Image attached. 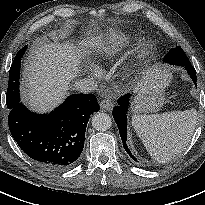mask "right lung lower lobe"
<instances>
[{
  "mask_svg": "<svg viewBox=\"0 0 205 205\" xmlns=\"http://www.w3.org/2000/svg\"><path fill=\"white\" fill-rule=\"evenodd\" d=\"M99 111L93 94H73L49 114H35L22 103L10 109L8 124L19 147L47 170L72 167L85 141L90 115Z\"/></svg>",
  "mask_w": 205,
  "mask_h": 205,
  "instance_id": "98d812e1",
  "label": "right lung lower lobe"
}]
</instances>
